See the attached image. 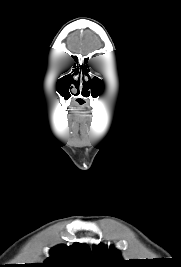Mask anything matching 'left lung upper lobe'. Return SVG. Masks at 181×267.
<instances>
[{
	"instance_id": "left-lung-upper-lobe-1",
	"label": "left lung upper lobe",
	"mask_w": 181,
	"mask_h": 267,
	"mask_svg": "<svg viewBox=\"0 0 181 267\" xmlns=\"http://www.w3.org/2000/svg\"><path fill=\"white\" fill-rule=\"evenodd\" d=\"M96 267H128L131 262L122 259L120 253L111 246L109 249L103 245L93 246Z\"/></svg>"
}]
</instances>
